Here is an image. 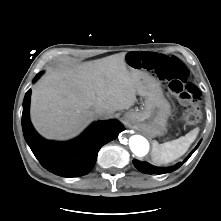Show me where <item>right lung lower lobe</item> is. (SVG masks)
Here are the masks:
<instances>
[{
	"label": "right lung lower lobe",
	"instance_id": "1",
	"mask_svg": "<svg viewBox=\"0 0 221 221\" xmlns=\"http://www.w3.org/2000/svg\"><path fill=\"white\" fill-rule=\"evenodd\" d=\"M38 74L34 81L38 79ZM31 90L23 101L22 129L35 157L48 171L63 177H78L90 172L100 148L117 138L124 127L117 120L96 122L82 135L69 142L47 141L34 130L29 119Z\"/></svg>",
	"mask_w": 221,
	"mask_h": 221
}]
</instances>
